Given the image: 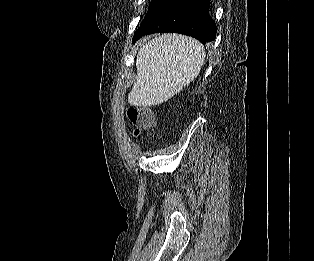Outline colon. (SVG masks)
<instances>
[{
	"label": "colon",
	"instance_id": "colon-1",
	"mask_svg": "<svg viewBox=\"0 0 314 261\" xmlns=\"http://www.w3.org/2000/svg\"><path fill=\"white\" fill-rule=\"evenodd\" d=\"M127 117L134 125V136L147 132L155 125V115L147 107H131L127 110Z\"/></svg>",
	"mask_w": 314,
	"mask_h": 261
}]
</instances>
